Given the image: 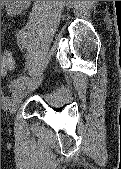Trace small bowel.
Returning a JSON list of instances; mask_svg holds the SVG:
<instances>
[{
	"label": "small bowel",
	"mask_w": 121,
	"mask_h": 169,
	"mask_svg": "<svg viewBox=\"0 0 121 169\" xmlns=\"http://www.w3.org/2000/svg\"><path fill=\"white\" fill-rule=\"evenodd\" d=\"M10 14H16L24 7L28 6L30 1H3Z\"/></svg>",
	"instance_id": "obj_1"
}]
</instances>
